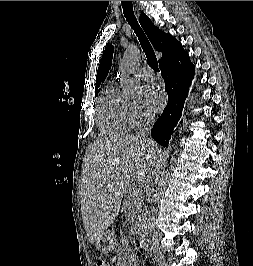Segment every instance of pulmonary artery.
I'll return each instance as SVG.
<instances>
[{"label": "pulmonary artery", "instance_id": "1", "mask_svg": "<svg viewBox=\"0 0 253 266\" xmlns=\"http://www.w3.org/2000/svg\"><path fill=\"white\" fill-rule=\"evenodd\" d=\"M140 76L146 81H151L154 79V71L150 67H144L140 70Z\"/></svg>", "mask_w": 253, "mask_h": 266}]
</instances>
